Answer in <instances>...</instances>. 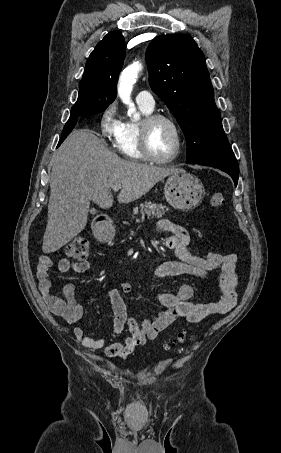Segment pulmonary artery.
<instances>
[{"label": "pulmonary artery", "instance_id": "pulmonary-artery-1", "mask_svg": "<svg viewBox=\"0 0 281 453\" xmlns=\"http://www.w3.org/2000/svg\"><path fill=\"white\" fill-rule=\"evenodd\" d=\"M136 101L139 103H144L148 108H154L155 102L152 95L147 91H142L137 94Z\"/></svg>", "mask_w": 281, "mask_h": 453}]
</instances>
